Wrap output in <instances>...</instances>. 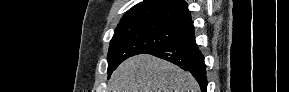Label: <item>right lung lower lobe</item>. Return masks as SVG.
<instances>
[{"instance_id":"obj_1","label":"right lung lower lobe","mask_w":289,"mask_h":92,"mask_svg":"<svg viewBox=\"0 0 289 92\" xmlns=\"http://www.w3.org/2000/svg\"><path fill=\"white\" fill-rule=\"evenodd\" d=\"M148 54L165 59L189 71L199 83L202 92H206L207 78L204 56L195 42L193 26L189 33L182 38L154 49Z\"/></svg>"}]
</instances>
